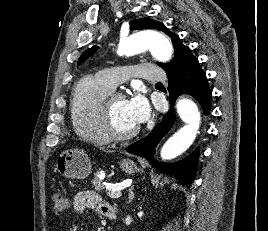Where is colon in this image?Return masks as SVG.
Listing matches in <instances>:
<instances>
[{
    "mask_svg": "<svg viewBox=\"0 0 268 231\" xmlns=\"http://www.w3.org/2000/svg\"><path fill=\"white\" fill-rule=\"evenodd\" d=\"M53 209L56 213L66 212L70 208V201L66 194L55 192L52 196Z\"/></svg>",
    "mask_w": 268,
    "mask_h": 231,
    "instance_id": "5ec220e1",
    "label": "colon"
}]
</instances>
